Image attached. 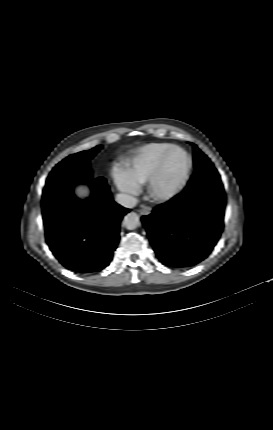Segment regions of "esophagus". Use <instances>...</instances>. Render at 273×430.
<instances>
[{
    "label": "esophagus",
    "instance_id": "esophagus-1",
    "mask_svg": "<svg viewBox=\"0 0 273 430\" xmlns=\"http://www.w3.org/2000/svg\"><path fill=\"white\" fill-rule=\"evenodd\" d=\"M139 213L141 215H149L151 213V207H149V206H142L141 209L139 210Z\"/></svg>",
    "mask_w": 273,
    "mask_h": 430
}]
</instances>
